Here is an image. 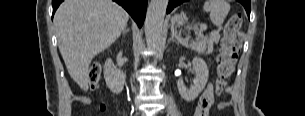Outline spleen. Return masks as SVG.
<instances>
[{
  "mask_svg": "<svg viewBox=\"0 0 305 116\" xmlns=\"http://www.w3.org/2000/svg\"><path fill=\"white\" fill-rule=\"evenodd\" d=\"M204 10L210 13L212 23L217 27H221L230 10V6L224 0H207L204 4Z\"/></svg>",
  "mask_w": 305,
  "mask_h": 116,
  "instance_id": "1",
  "label": "spleen"
}]
</instances>
